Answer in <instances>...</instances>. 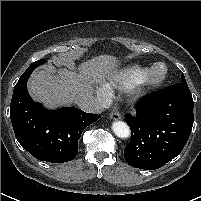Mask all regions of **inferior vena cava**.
<instances>
[{
	"label": "inferior vena cava",
	"mask_w": 201,
	"mask_h": 201,
	"mask_svg": "<svg viewBox=\"0 0 201 201\" xmlns=\"http://www.w3.org/2000/svg\"><path fill=\"white\" fill-rule=\"evenodd\" d=\"M75 102L81 110L88 113H101L103 111L100 101L92 95H81Z\"/></svg>",
	"instance_id": "inferior-vena-cava-1"
}]
</instances>
